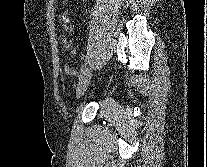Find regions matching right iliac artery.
<instances>
[{
	"label": "right iliac artery",
	"mask_w": 207,
	"mask_h": 167,
	"mask_svg": "<svg viewBox=\"0 0 207 167\" xmlns=\"http://www.w3.org/2000/svg\"><path fill=\"white\" fill-rule=\"evenodd\" d=\"M87 70V63H84L80 69V73H79V80L83 77V75L85 74Z\"/></svg>",
	"instance_id": "82829eb1"
}]
</instances>
